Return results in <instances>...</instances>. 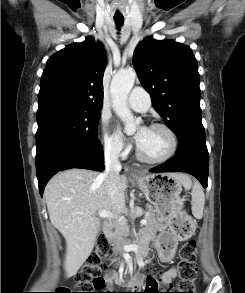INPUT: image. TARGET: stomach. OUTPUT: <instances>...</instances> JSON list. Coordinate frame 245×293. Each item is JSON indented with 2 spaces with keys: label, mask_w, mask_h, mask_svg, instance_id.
Masks as SVG:
<instances>
[{
  "label": "stomach",
  "mask_w": 245,
  "mask_h": 293,
  "mask_svg": "<svg viewBox=\"0 0 245 293\" xmlns=\"http://www.w3.org/2000/svg\"><path fill=\"white\" fill-rule=\"evenodd\" d=\"M135 182L145 194L147 200L155 207L158 220L169 226L177 237L185 239L192 235L194 228L177 233L173 224L188 218L183 211V199L180 197L184 186L172 173L142 174Z\"/></svg>",
  "instance_id": "1"
}]
</instances>
